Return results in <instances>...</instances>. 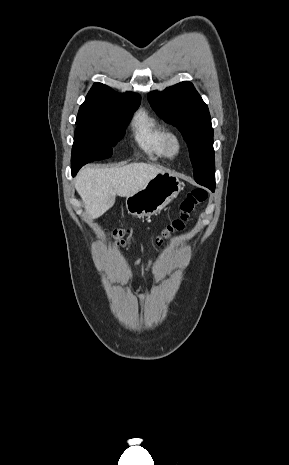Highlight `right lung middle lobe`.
Returning <instances> with one entry per match:
<instances>
[{"label":"right lung middle lobe","instance_id":"1","mask_svg":"<svg viewBox=\"0 0 289 465\" xmlns=\"http://www.w3.org/2000/svg\"><path fill=\"white\" fill-rule=\"evenodd\" d=\"M140 102H122L109 108L106 121L76 123L72 164H86L111 157L112 147L124 136V128Z\"/></svg>","mask_w":289,"mask_h":465}]
</instances>
